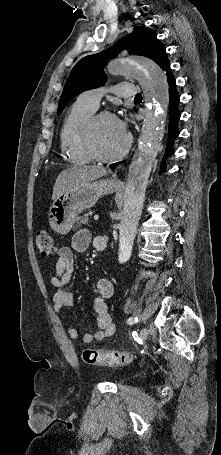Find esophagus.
I'll use <instances>...</instances> for the list:
<instances>
[{
  "mask_svg": "<svg viewBox=\"0 0 221 455\" xmlns=\"http://www.w3.org/2000/svg\"><path fill=\"white\" fill-rule=\"evenodd\" d=\"M116 182H117V183H120V181H119V180H116Z\"/></svg>",
  "mask_w": 221,
  "mask_h": 455,
  "instance_id": "34e87169",
  "label": "esophagus"
}]
</instances>
